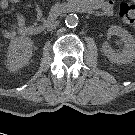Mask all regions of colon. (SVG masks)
<instances>
[{"instance_id": "1", "label": "colon", "mask_w": 135, "mask_h": 135, "mask_svg": "<svg viewBox=\"0 0 135 135\" xmlns=\"http://www.w3.org/2000/svg\"><path fill=\"white\" fill-rule=\"evenodd\" d=\"M118 14L124 24L135 28V3L121 2Z\"/></svg>"}]
</instances>
